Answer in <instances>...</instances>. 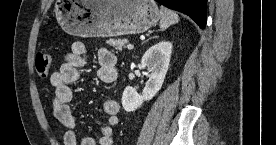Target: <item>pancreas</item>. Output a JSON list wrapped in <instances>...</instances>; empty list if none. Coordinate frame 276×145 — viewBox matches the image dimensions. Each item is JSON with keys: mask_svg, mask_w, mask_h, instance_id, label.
Returning <instances> with one entry per match:
<instances>
[{"mask_svg": "<svg viewBox=\"0 0 276 145\" xmlns=\"http://www.w3.org/2000/svg\"><path fill=\"white\" fill-rule=\"evenodd\" d=\"M107 44L114 47L115 50H117V51H122V49L124 48V46L126 44V40L125 39H109V40H107Z\"/></svg>", "mask_w": 276, "mask_h": 145, "instance_id": "pancreas-1", "label": "pancreas"}]
</instances>
